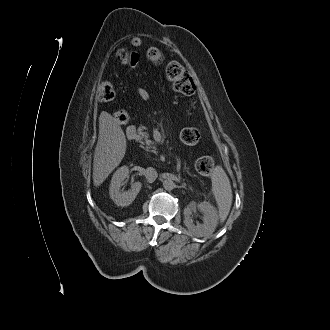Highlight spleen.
Segmentation results:
<instances>
[{"label": "spleen", "mask_w": 330, "mask_h": 330, "mask_svg": "<svg viewBox=\"0 0 330 330\" xmlns=\"http://www.w3.org/2000/svg\"><path fill=\"white\" fill-rule=\"evenodd\" d=\"M212 191L215 196L220 223H223L231 209L232 205V189L229 178L222 168V166H216L212 173Z\"/></svg>", "instance_id": "3e777b00"}]
</instances>
